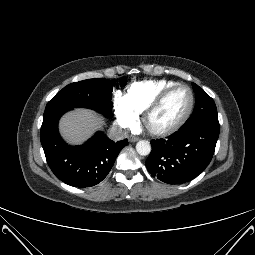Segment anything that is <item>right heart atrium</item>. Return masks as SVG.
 I'll return each mask as SVG.
<instances>
[{"label":"right heart atrium","instance_id":"obj_1","mask_svg":"<svg viewBox=\"0 0 255 255\" xmlns=\"http://www.w3.org/2000/svg\"><path fill=\"white\" fill-rule=\"evenodd\" d=\"M114 114L118 124L126 130H132L138 125V114H136L120 96L115 98Z\"/></svg>","mask_w":255,"mask_h":255}]
</instances>
